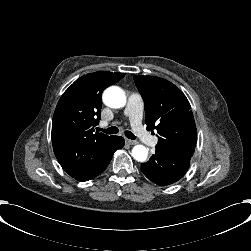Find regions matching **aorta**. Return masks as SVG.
Masks as SVG:
<instances>
[{"mask_svg":"<svg viewBox=\"0 0 251 251\" xmlns=\"http://www.w3.org/2000/svg\"><path fill=\"white\" fill-rule=\"evenodd\" d=\"M103 101L107 106L119 109L126 106L127 98L121 88L112 86L104 91ZM132 156L135 160L144 162L148 156V148L142 144H137L132 148Z\"/></svg>","mask_w":251,"mask_h":251,"instance_id":"obj_1","label":"aorta"}]
</instances>
